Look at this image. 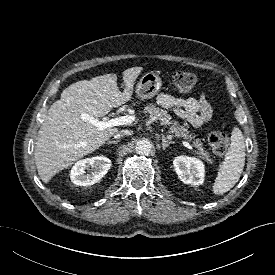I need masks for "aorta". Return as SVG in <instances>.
<instances>
[{
  "label": "aorta",
  "mask_w": 275,
  "mask_h": 275,
  "mask_svg": "<svg viewBox=\"0 0 275 275\" xmlns=\"http://www.w3.org/2000/svg\"><path fill=\"white\" fill-rule=\"evenodd\" d=\"M153 148L152 143L148 139H142L136 142L135 151L139 155H148Z\"/></svg>",
  "instance_id": "1"
}]
</instances>
